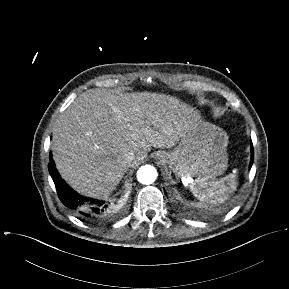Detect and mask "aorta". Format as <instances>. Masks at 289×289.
<instances>
[{"mask_svg":"<svg viewBox=\"0 0 289 289\" xmlns=\"http://www.w3.org/2000/svg\"><path fill=\"white\" fill-rule=\"evenodd\" d=\"M156 178L157 170L151 165L142 166L137 171V180L142 184L149 185L153 183Z\"/></svg>","mask_w":289,"mask_h":289,"instance_id":"1","label":"aorta"}]
</instances>
